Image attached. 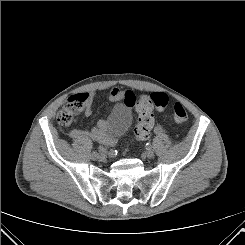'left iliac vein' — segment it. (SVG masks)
I'll list each match as a JSON object with an SVG mask.
<instances>
[{
	"mask_svg": "<svg viewBox=\"0 0 245 245\" xmlns=\"http://www.w3.org/2000/svg\"><path fill=\"white\" fill-rule=\"evenodd\" d=\"M145 157L147 158H153L154 157V152L152 149H147L144 153Z\"/></svg>",
	"mask_w": 245,
	"mask_h": 245,
	"instance_id": "obj_1",
	"label": "left iliac vein"
}]
</instances>
